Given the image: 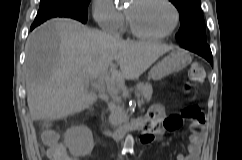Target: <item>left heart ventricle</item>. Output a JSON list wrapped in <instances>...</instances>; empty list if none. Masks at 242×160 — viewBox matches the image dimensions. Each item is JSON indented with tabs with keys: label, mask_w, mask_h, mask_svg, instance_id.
Masks as SVG:
<instances>
[{
	"label": "left heart ventricle",
	"mask_w": 242,
	"mask_h": 160,
	"mask_svg": "<svg viewBox=\"0 0 242 160\" xmlns=\"http://www.w3.org/2000/svg\"><path fill=\"white\" fill-rule=\"evenodd\" d=\"M126 13L137 29L145 34L165 33L174 23V12L163 0H133Z\"/></svg>",
	"instance_id": "1"
}]
</instances>
